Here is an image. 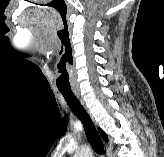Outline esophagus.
<instances>
[{"mask_svg": "<svg viewBox=\"0 0 164 157\" xmlns=\"http://www.w3.org/2000/svg\"><path fill=\"white\" fill-rule=\"evenodd\" d=\"M74 93H75L76 97H77L78 99H80V101L82 102V99H81L79 90H74Z\"/></svg>", "mask_w": 164, "mask_h": 157, "instance_id": "esophagus-1", "label": "esophagus"}]
</instances>
